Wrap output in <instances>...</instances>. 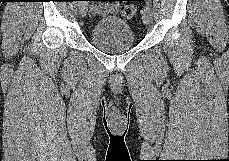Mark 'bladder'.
I'll list each match as a JSON object with an SVG mask.
<instances>
[{
    "label": "bladder",
    "mask_w": 229,
    "mask_h": 161,
    "mask_svg": "<svg viewBox=\"0 0 229 161\" xmlns=\"http://www.w3.org/2000/svg\"><path fill=\"white\" fill-rule=\"evenodd\" d=\"M90 40L103 51H122L134 46L135 34L130 24L122 18L104 17L93 25Z\"/></svg>",
    "instance_id": "1"
}]
</instances>
